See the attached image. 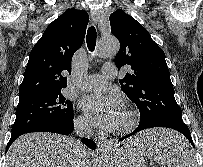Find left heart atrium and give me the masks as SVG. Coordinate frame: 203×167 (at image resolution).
<instances>
[{
    "label": "left heart atrium",
    "instance_id": "obj_1",
    "mask_svg": "<svg viewBox=\"0 0 203 167\" xmlns=\"http://www.w3.org/2000/svg\"><path fill=\"white\" fill-rule=\"evenodd\" d=\"M82 107L87 116L104 129L116 127L124 114L121 100L115 94L89 95L83 100Z\"/></svg>",
    "mask_w": 203,
    "mask_h": 167
}]
</instances>
